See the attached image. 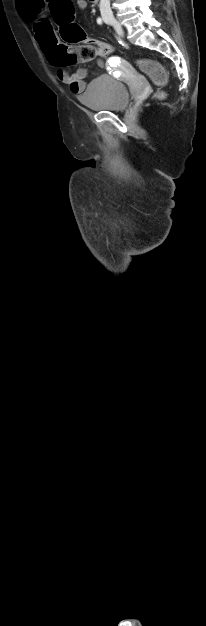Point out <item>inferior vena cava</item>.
<instances>
[{
	"mask_svg": "<svg viewBox=\"0 0 206 626\" xmlns=\"http://www.w3.org/2000/svg\"><path fill=\"white\" fill-rule=\"evenodd\" d=\"M100 12L102 16H113V13L110 8V0H100Z\"/></svg>",
	"mask_w": 206,
	"mask_h": 626,
	"instance_id": "602c4592",
	"label": "inferior vena cava"
}]
</instances>
